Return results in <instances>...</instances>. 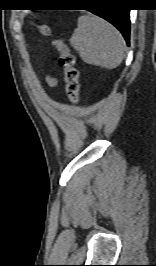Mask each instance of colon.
Listing matches in <instances>:
<instances>
[{
  "label": "colon",
  "instance_id": "5ec220e1",
  "mask_svg": "<svg viewBox=\"0 0 156 266\" xmlns=\"http://www.w3.org/2000/svg\"><path fill=\"white\" fill-rule=\"evenodd\" d=\"M38 29L43 36H52L51 28L47 24L39 25ZM52 44L59 53V64L64 71L66 94L69 101L76 105L79 102L80 85L79 71L75 65V56L61 39L54 38Z\"/></svg>",
  "mask_w": 156,
  "mask_h": 266
}]
</instances>
